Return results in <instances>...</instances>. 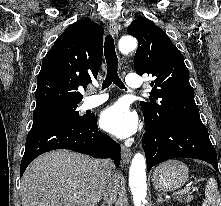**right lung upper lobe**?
<instances>
[{"mask_svg":"<svg viewBox=\"0 0 221 206\" xmlns=\"http://www.w3.org/2000/svg\"><path fill=\"white\" fill-rule=\"evenodd\" d=\"M104 30L89 20L69 25L44 57L37 77L36 107L79 103L80 86L97 78Z\"/></svg>","mask_w":221,"mask_h":206,"instance_id":"cb5924a9","label":"right lung upper lobe"}]
</instances>
